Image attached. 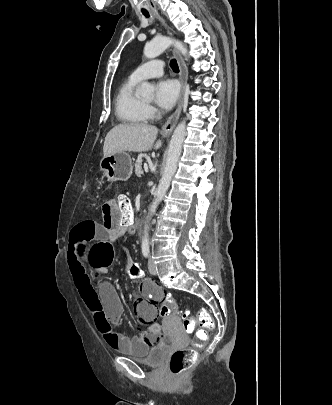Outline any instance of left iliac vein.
I'll return each instance as SVG.
<instances>
[{
	"label": "left iliac vein",
	"instance_id": "left-iliac-vein-1",
	"mask_svg": "<svg viewBox=\"0 0 332 405\" xmlns=\"http://www.w3.org/2000/svg\"><path fill=\"white\" fill-rule=\"evenodd\" d=\"M148 270H149V272L151 274H156L157 273V269H156V266L154 264V260H153L152 257H150L149 261H148Z\"/></svg>",
	"mask_w": 332,
	"mask_h": 405
}]
</instances>
